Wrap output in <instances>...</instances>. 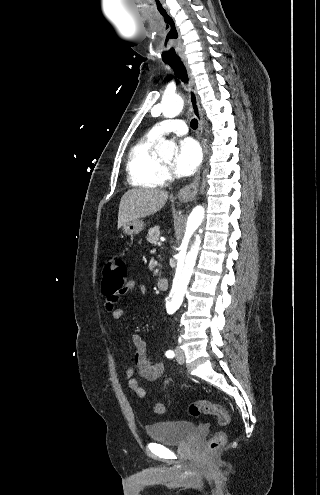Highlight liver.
I'll return each instance as SVG.
<instances>
[{
    "label": "liver",
    "mask_w": 320,
    "mask_h": 495,
    "mask_svg": "<svg viewBox=\"0 0 320 495\" xmlns=\"http://www.w3.org/2000/svg\"><path fill=\"white\" fill-rule=\"evenodd\" d=\"M168 199L166 191L158 189H132L120 201L118 229L125 223L144 218L160 211Z\"/></svg>",
    "instance_id": "obj_1"
}]
</instances>
